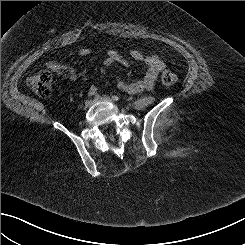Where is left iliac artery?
I'll return each instance as SVG.
<instances>
[{
	"mask_svg": "<svg viewBox=\"0 0 245 245\" xmlns=\"http://www.w3.org/2000/svg\"><path fill=\"white\" fill-rule=\"evenodd\" d=\"M112 99H113L114 101H119V100H120V98H119L117 95H113V96H112Z\"/></svg>",
	"mask_w": 245,
	"mask_h": 245,
	"instance_id": "left-iliac-artery-1",
	"label": "left iliac artery"
}]
</instances>
